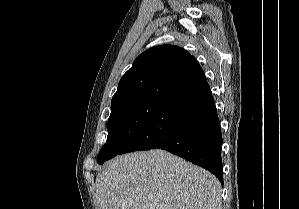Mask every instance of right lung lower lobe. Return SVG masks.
I'll return each mask as SVG.
<instances>
[{
    "label": "right lung lower lobe",
    "mask_w": 299,
    "mask_h": 209,
    "mask_svg": "<svg viewBox=\"0 0 299 209\" xmlns=\"http://www.w3.org/2000/svg\"><path fill=\"white\" fill-rule=\"evenodd\" d=\"M222 134L204 73L168 97L119 154L163 149L213 173L223 184Z\"/></svg>",
    "instance_id": "98d812e1"
}]
</instances>
